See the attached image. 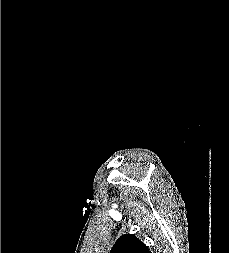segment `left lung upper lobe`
I'll return each mask as SVG.
<instances>
[{
    "label": "left lung upper lobe",
    "instance_id": "obj_1",
    "mask_svg": "<svg viewBox=\"0 0 229 253\" xmlns=\"http://www.w3.org/2000/svg\"><path fill=\"white\" fill-rule=\"evenodd\" d=\"M110 253H151L148 247L134 234L122 235L112 247Z\"/></svg>",
    "mask_w": 229,
    "mask_h": 253
}]
</instances>
